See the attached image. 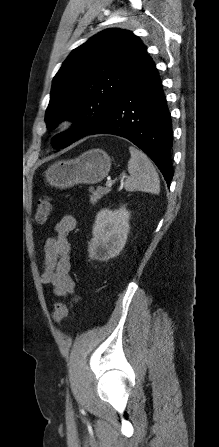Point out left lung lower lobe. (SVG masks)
Returning <instances> with one entry per match:
<instances>
[{
  "label": "left lung lower lobe",
  "instance_id": "left-lung-lower-lobe-1",
  "mask_svg": "<svg viewBox=\"0 0 219 447\" xmlns=\"http://www.w3.org/2000/svg\"><path fill=\"white\" fill-rule=\"evenodd\" d=\"M94 134H113L130 140L155 162L166 183H170L173 177L171 115L157 69L148 55L87 135Z\"/></svg>",
  "mask_w": 219,
  "mask_h": 447
}]
</instances>
